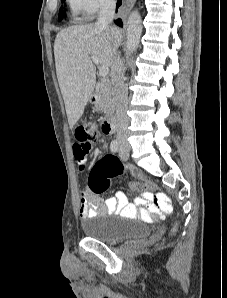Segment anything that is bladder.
<instances>
[{
  "mask_svg": "<svg viewBox=\"0 0 227 298\" xmlns=\"http://www.w3.org/2000/svg\"><path fill=\"white\" fill-rule=\"evenodd\" d=\"M82 230L86 237L107 244L147 238L150 228L134 219H106L103 216L85 221Z\"/></svg>",
  "mask_w": 227,
  "mask_h": 298,
  "instance_id": "31cf9c89",
  "label": "bladder"
}]
</instances>
